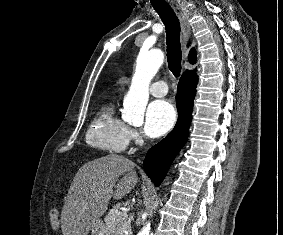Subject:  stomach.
I'll return each mask as SVG.
<instances>
[{
    "mask_svg": "<svg viewBox=\"0 0 283 235\" xmlns=\"http://www.w3.org/2000/svg\"><path fill=\"white\" fill-rule=\"evenodd\" d=\"M90 235H108L105 224L100 220L90 230Z\"/></svg>",
    "mask_w": 283,
    "mask_h": 235,
    "instance_id": "stomach-1",
    "label": "stomach"
}]
</instances>
